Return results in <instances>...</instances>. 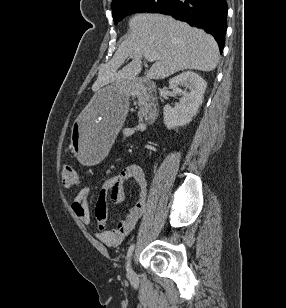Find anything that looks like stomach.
Instances as JSON below:
<instances>
[{"label":"stomach","mask_w":286,"mask_h":308,"mask_svg":"<svg viewBox=\"0 0 286 308\" xmlns=\"http://www.w3.org/2000/svg\"><path fill=\"white\" fill-rule=\"evenodd\" d=\"M130 84L103 85L88 97L86 109H80L71 122L73 152L79 165H98L113 149L114 137L130 106Z\"/></svg>","instance_id":"obj_1"}]
</instances>
